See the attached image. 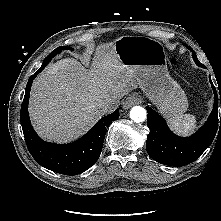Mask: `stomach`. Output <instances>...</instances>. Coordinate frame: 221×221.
I'll list each match as a JSON object with an SVG mask.
<instances>
[{
  "instance_id": "1",
  "label": "stomach",
  "mask_w": 221,
  "mask_h": 221,
  "mask_svg": "<svg viewBox=\"0 0 221 221\" xmlns=\"http://www.w3.org/2000/svg\"><path fill=\"white\" fill-rule=\"evenodd\" d=\"M121 63L134 71L137 84L168 118L184 113L187 97L167 69L162 44L146 36H122L114 42Z\"/></svg>"
}]
</instances>
